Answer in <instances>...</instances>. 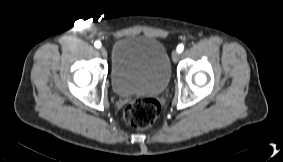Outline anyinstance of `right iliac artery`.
Returning a JSON list of instances; mask_svg holds the SVG:
<instances>
[{
    "label": "right iliac artery",
    "instance_id": "82829eb1",
    "mask_svg": "<svg viewBox=\"0 0 283 162\" xmlns=\"http://www.w3.org/2000/svg\"><path fill=\"white\" fill-rule=\"evenodd\" d=\"M94 46H95L96 48H100V47H101V43H100L99 41H96V42L94 43Z\"/></svg>",
    "mask_w": 283,
    "mask_h": 162
}]
</instances>
